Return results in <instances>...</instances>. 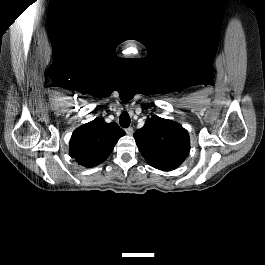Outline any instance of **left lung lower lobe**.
<instances>
[{"instance_id":"1","label":"left lung lower lobe","mask_w":265,"mask_h":265,"mask_svg":"<svg viewBox=\"0 0 265 265\" xmlns=\"http://www.w3.org/2000/svg\"><path fill=\"white\" fill-rule=\"evenodd\" d=\"M177 167H171V168H169V169H167L166 171H171V170H174V169H176Z\"/></svg>"}]
</instances>
